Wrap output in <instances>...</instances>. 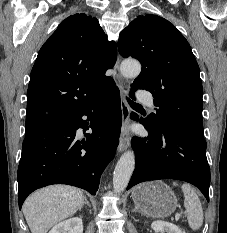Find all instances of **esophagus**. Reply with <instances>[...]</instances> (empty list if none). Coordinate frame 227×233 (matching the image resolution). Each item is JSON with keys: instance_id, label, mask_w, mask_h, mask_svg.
Wrapping results in <instances>:
<instances>
[{"instance_id": "esophagus-1", "label": "esophagus", "mask_w": 227, "mask_h": 233, "mask_svg": "<svg viewBox=\"0 0 227 233\" xmlns=\"http://www.w3.org/2000/svg\"><path fill=\"white\" fill-rule=\"evenodd\" d=\"M119 65H120V58L118 57L113 69V76L121 92L122 130H121L119 145L117 148L118 152L121 153L124 150H126L130 145V132H129L130 107L126 100V96L130 88V82L121 74Z\"/></svg>"}]
</instances>
